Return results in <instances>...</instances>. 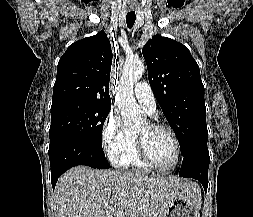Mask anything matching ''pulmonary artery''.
<instances>
[{
    "label": "pulmonary artery",
    "mask_w": 253,
    "mask_h": 217,
    "mask_svg": "<svg viewBox=\"0 0 253 217\" xmlns=\"http://www.w3.org/2000/svg\"><path fill=\"white\" fill-rule=\"evenodd\" d=\"M134 95L141 106L151 115L156 113V102L153 92L146 82H139L134 87Z\"/></svg>",
    "instance_id": "e3ab8cb5"
}]
</instances>
